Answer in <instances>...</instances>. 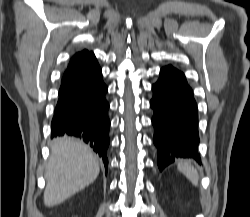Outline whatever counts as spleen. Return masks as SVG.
<instances>
[{
  "label": "spleen",
  "instance_id": "obj_1",
  "mask_svg": "<svg viewBox=\"0 0 250 217\" xmlns=\"http://www.w3.org/2000/svg\"><path fill=\"white\" fill-rule=\"evenodd\" d=\"M177 168L194 184L198 185L199 175L197 170L187 160H183L177 163Z\"/></svg>",
  "mask_w": 250,
  "mask_h": 217
}]
</instances>
